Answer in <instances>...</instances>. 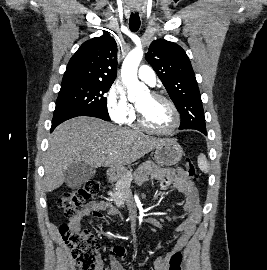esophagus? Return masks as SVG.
Masks as SVG:
<instances>
[{
	"label": "esophagus",
	"mask_w": 267,
	"mask_h": 270,
	"mask_svg": "<svg viewBox=\"0 0 267 270\" xmlns=\"http://www.w3.org/2000/svg\"><path fill=\"white\" fill-rule=\"evenodd\" d=\"M132 10H133V12H137L138 8H133Z\"/></svg>",
	"instance_id": "1"
}]
</instances>
